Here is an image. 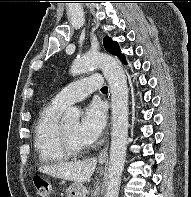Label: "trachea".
<instances>
[{"label":"trachea","instance_id":"trachea-1","mask_svg":"<svg viewBox=\"0 0 191 197\" xmlns=\"http://www.w3.org/2000/svg\"><path fill=\"white\" fill-rule=\"evenodd\" d=\"M101 90L105 91V90H108V88L107 87H102Z\"/></svg>","mask_w":191,"mask_h":197}]
</instances>
